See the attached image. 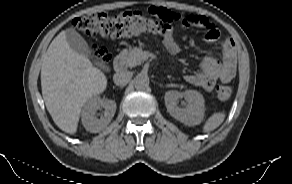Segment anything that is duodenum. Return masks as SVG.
<instances>
[{"mask_svg": "<svg viewBox=\"0 0 292 184\" xmlns=\"http://www.w3.org/2000/svg\"><path fill=\"white\" fill-rule=\"evenodd\" d=\"M113 65L116 71H122L125 65L124 57L122 55L116 56L113 61Z\"/></svg>", "mask_w": 292, "mask_h": 184, "instance_id": "410a0bca", "label": "duodenum"}]
</instances>
